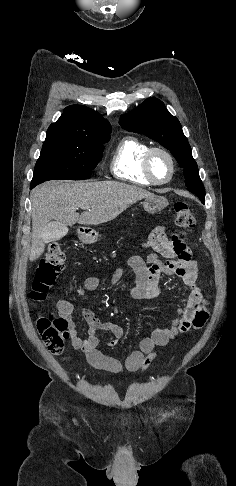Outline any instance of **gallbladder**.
Returning <instances> with one entry per match:
<instances>
[{"instance_id":"gallbladder-1","label":"gallbladder","mask_w":236,"mask_h":486,"mask_svg":"<svg viewBox=\"0 0 236 486\" xmlns=\"http://www.w3.org/2000/svg\"><path fill=\"white\" fill-rule=\"evenodd\" d=\"M46 233L48 234L49 242L60 240L66 233V225L57 221H51Z\"/></svg>"}]
</instances>
